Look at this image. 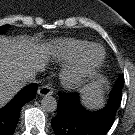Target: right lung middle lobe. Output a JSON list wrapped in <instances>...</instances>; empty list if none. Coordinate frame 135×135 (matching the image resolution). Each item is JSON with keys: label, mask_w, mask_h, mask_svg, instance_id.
<instances>
[{"label": "right lung middle lobe", "mask_w": 135, "mask_h": 135, "mask_svg": "<svg viewBox=\"0 0 135 135\" xmlns=\"http://www.w3.org/2000/svg\"><path fill=\"white\" fill-rule=\"evenodd\" d=\"M9 25H4L0 27V33H2L3 31H5L6 29H8Z\"/></svg>", "instance_id": "obj_1"}]
</instances>
